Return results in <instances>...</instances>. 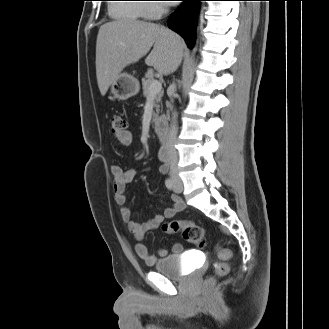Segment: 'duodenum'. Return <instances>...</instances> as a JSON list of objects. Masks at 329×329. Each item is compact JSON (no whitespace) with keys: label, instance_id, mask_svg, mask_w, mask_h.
Listing matches in <instances>:
<instances>
[{"label":"duodenum","instance_id":"obj_1","mask_svg":"<svg viewBox=\"0 0 329 329\" xmlns=\"http://www.w3.org/2000/svg\"><path fill=\"white\" fill-rule=\"evenodd\" d=\"M152 127L159 140L166 144L168 141L166 119L164 117L156 118L153 121Z\"/></svg>","mask_w":329,"mask_h":329}]
</instances>
